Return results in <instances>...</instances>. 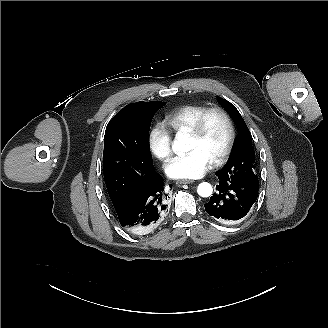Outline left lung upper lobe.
Wrapping results in <instances>:
<instances>
[{"label": "left lung upper lobe", "mask_w": 328, "mask_h": 328, "mask_svg": "<svg viewBox=\"0 0 328 328\" xmlns=\"http://www.w3.org/2000/svg\"><path fill=\"white\" fill-rule=\"evenodd\" d=\"M218 100L240 130L226 165L218 173L226 177L258 180L251 133L236 107L223 98H218Z\"/></svg>", "instance_id": "left-lung-upper-lobe-1"}]
</instances>
